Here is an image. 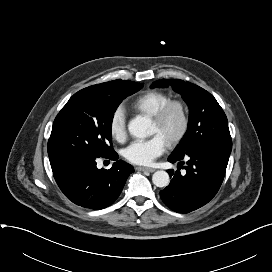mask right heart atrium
Masks as SVG:
<instances>
[{
  "instance_id": "obj_1",
  "label": "right heart atrium",
  "mask_w": 272,
  "mask_h": 272,
  "mask_svg": "<svg viewBox=\"0 0 272 272\" xmlns=\"http://www.w3.org/2000/svg\"><path fill=\"white\" fill-rule=\"evenodd\" d=\"M109 132L111 136L122 142L126 137V113L122 107H117L109 120Z\"/></svg>"
}]
</instances>
